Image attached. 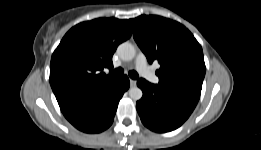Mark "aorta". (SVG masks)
Here are the masks:
<instances>
[{
    "label": "aorta",
    "mask_w": 261,
    "mask_h": 150,
    "mask_svg": "<svg viewBox=\"0 0 261 150\" xmlns=\"http://www.w3.org/2000/svg\"><path fill=\"white\" fill-rule=\"evenodd\" d=\"M117 53L122 60L130 61L135 57L136 50L131 43L124 42L118 46ZM142 95V90L137 86L129 89V97L134 101L140 100Z\"/></svg>",
    "instance_id": "1"
}]
</instances>
